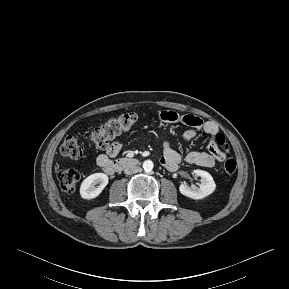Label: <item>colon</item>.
Returning <instances> with one entry per match:
<instances>
[{
  "label": "colon",
  "mask_w": 289,
  "mask_h": 289,
  "mask_svg": "<svg viewBox=\"0 0 289 289\" xmlns=\"http://www.w3.org/2000/svg\"><path fill=\"white\" fill-rule=\"evenodd\" d=\"M139 116L134 113L121 114L115 118L108 120L99 127L95 128L90 139L96 149L107 150L110 146V141L121 133L129 130L137 122ZM214 145L228 151V144L222 133L216 134L214 137ZM62 155L77 159L82 155V148L77 137L67 136L60 147ZM237 167L236 160L233 158L226 159L224 163V171L228 175H232ZM61 189L68 194L73 193L80 180L79 173L72 168L60 169L57 174Z\"/></svg>",
  "instance_id": "obj_1"
}]
</instances>
